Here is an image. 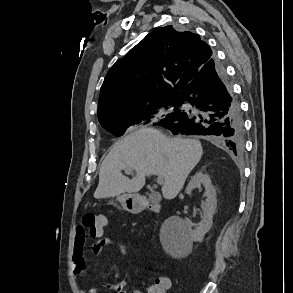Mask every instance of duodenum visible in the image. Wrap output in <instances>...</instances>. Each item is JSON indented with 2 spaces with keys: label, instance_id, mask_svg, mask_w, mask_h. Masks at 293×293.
<instances>
[{
  "label": "duodenum",
  "instance_id": "duodenum-1",
  "mask_svg": "<svg viewBox=\"0 0 293 293\" xmlns=\"http://www.w3.org/2000/svg\"><path fill=\"white\" fill-rule=\"evenodd\" d=\"M146 209L159 213L161 211V205L159 202H151L147 197H143L137 201L136 210L142 212Z\"/></svg>",
  "mask_w": 293,
  "mask_h": 293
}]
</instances>
